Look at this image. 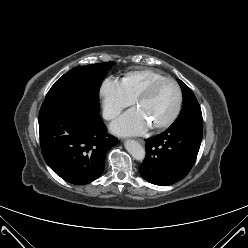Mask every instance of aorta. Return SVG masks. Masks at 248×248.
<instances>
[{
  "instance_id": "aorta-1",
  "label": "aorta",
  "mask_w": 248,
  "mask_h": 248,
  "mask_svg": "<svg viewBox=\"0 0 248 248\" xmlns=\"http://www.w3.org/2000/svg\"><path fill=\"white\" fill-rule=\"evenodd\" d=\"M126 150L131 154V156L138 160L142 161L145 158V149L135 140H127L125 142Z\"/></svg>"
}]
</instances>
